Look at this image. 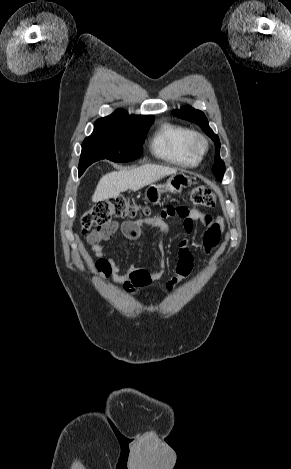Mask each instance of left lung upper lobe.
<instances>
[{
    "label": "left lung upper lobe",
    "instance_id": "5c2ea615",
    "mask_svg": "<svg viewBox=\"0 0 291 469\" xmlns=\"http://www.w3.org/2000/svg\"><path fill=\"white\" fill-rule=\"evenodd\" d=\"M173 114L181 119L195 122L201 129L215 142L216 145V156L215 164L212 172L216 176L218 181H221L225 172V164L220 158V141L219 137L209 127L208 120L204 113L200 110L194 109L190 106H184L180 110H174Z\"/></svg>",
    "mask_w": 291,
    "mask_h": 469
}]
</instances>
